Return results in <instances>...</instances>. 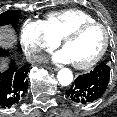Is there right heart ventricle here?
Here are the masks:
<instances>
[{
  "instance_id": "obj_1",
  "label": "right heart ventricle",
  "mask_w": 117,
  "mask_h": 117,
  "mask_svg": "<svg viewBox=\"0 0 117 117\" xmlns=\"http://www.w3.org/2000/svg\"><path fill=\"white\" fill-rule=\"evenodd\" d=\"M90 14L79 9L54 11L46 16L44 23L52 35L61 40L67 33L81 24L94 22Z\"/></svg>"
}]
</instances>
